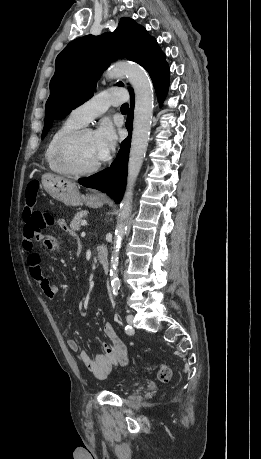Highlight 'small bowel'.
<instances>
[{
    "label": "small bowel",
    "instance_id": "1",
    "mask_svg": "<svg viewBox=\"0 0 261 459\" xmlns=\"http://www.w3.org/2000/svg\"><path fill=\"white\" fill-rule=\"evenodd\" d=\"M58 224L64 231L75 237L74 232L69 229L65 221L59 220ZM35 243H41L46 250L55 251L59 240L56 236L43 232H37L35 238H23V247L26 251L30 252L27 258L30 276L37 282L39 288L48 299L55 300L59 291L58 286L42 272L40 255L33 251ZM103 333L108 339V342L103 344V352L97 354L94 359L90 358L86 351L79 350L76 340H67L70 350L79 352L81 362L98 378L106 377L114 366L117 364H126L128 361L126 346L120 340L110 322H106L103 325Z\"/></svg>",
    "mask_w": 261,
    "mask_h": 459
}]
</instances>
